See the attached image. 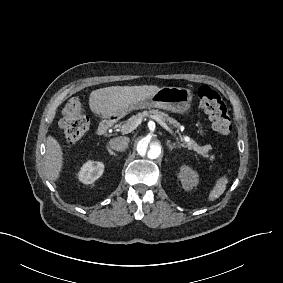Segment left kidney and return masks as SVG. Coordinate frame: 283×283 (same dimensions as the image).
<instances>
[{"label": "left kidney", "instance_id": "left-kidney-1", "mask_svg": "<svg viewBox=\"0 0 283 283\" xmlns=\"http://www.w3.org/2000/svg\"><path fill=\"white\" fill-rule=\"evenodd\" d=\"M179 178L185 190L192 189L198 184V174L188 167H182Z\"/></svg>", "mask_w": 283, "mask_h": 283}]
</instances>
